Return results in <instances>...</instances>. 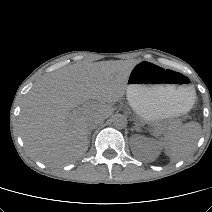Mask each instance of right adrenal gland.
Masks as SVG:
<instances>
[{
  "mask_svg": "<svg viewBox=\"0 0 212 212\" xmlns=\"http://www.w3.org/2000/svg\"><path fill=\"white\" fill-rule=\"evenodd\" d=\"M91 133H92V129H90L89 131H88V138L90 139V137H91Z\"/></svg>",
  "mask_w": 212,
  "mask_h": 212,
  "instance_id": "1",
  "label": "right adrenal gland"
}]
</instances>
